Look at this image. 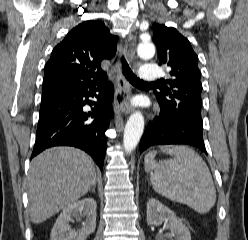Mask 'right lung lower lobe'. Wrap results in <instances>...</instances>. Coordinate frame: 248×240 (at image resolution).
<instances>
[{
  "label": "right lung lower lobe",
  "instance_id": "right-lung-lower-lobe-1",
  "mask_svg": "<svg viewBox=\"0 0 248 240\" xmlns=\"http://www.w3.org/2000/svg\"><path fill=\"white\" fill-rule=\"evenodd\" d=\"M113 94L112 84L105 80L42 97L31 158L52 146H74L90 154L102 170L107 148L105 131L114 116ZM94 97L97 102L91 100ZM85 105L92 110L87 112Z\"/></svg>",
  "mask_w": 248,
  "mask_h": 240
}]
</instances>
